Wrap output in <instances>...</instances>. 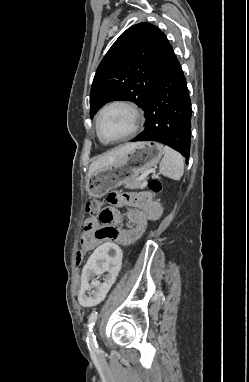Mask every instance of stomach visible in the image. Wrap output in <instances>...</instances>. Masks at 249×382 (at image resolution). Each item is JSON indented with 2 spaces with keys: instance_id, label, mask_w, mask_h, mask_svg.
Returning a JSON list of instances; mask_svg holds the SVG:
<instances>
[{
  "instance_id": "0dacf381",
  "label": "stomach",
  "mask_w": 249,
  "mask_h": 382,
  "mask_svg": "<svg viewBox=\"0 0 249 382\" xmlns=\"http://www.w3.org/2000/svg\"><path fill=\"white\" fill-rule=\"evenodd\" d=\"M163 155V147L157 142H140L114 164L95 171L87 180L86 190L91 197L100 198L111 189L155 167Z\"/></svg>"
}]
</instances>
